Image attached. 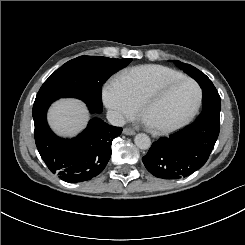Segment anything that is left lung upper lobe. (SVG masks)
<instances>
[{"instance_id": "left-lung-upper-lobe-1", "label": "left lung upper lobe", "mask_w": 245, "mask_h": 245, "mask_svg": "<svg viewBox=\"0 0 245 245\" xmlns=\"http://www.w3.org/2000/svg\"><path fill=\"white\" fill-rule=\"evenodd\" d=\"M180 69H182L184 72H186L188 75H190L192 78H194L197 82L205 77H207L204 73H202L197 68L189 65L181 63L180 61L174 60L173 61Z\"/></svg>"}]
</instances>
